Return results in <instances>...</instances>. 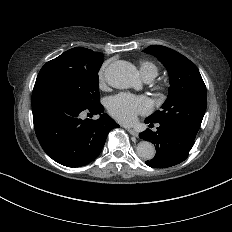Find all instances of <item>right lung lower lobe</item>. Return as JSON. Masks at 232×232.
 Segmentation results:
<instances>
[{
  "label": "right lung lower lobe",
  "mask_w": 232,
  "mask_h": 232,
  "mask_svg": "<svg viewBox=\"0 0 232 232\" xmlns=\"http://www.w3.org/2000/svg\"><path fill=\"white\" fill-rule=\"evenodd\" d=\"M98 103H81L61 82L38 76L32 93L33 122L44 151L67 167H80L101 152L109 131L119 125ZM97 120L82 119L85 114Z\"/></svg>",
  "instance_id": "98d812e1"
}]
</instances>
